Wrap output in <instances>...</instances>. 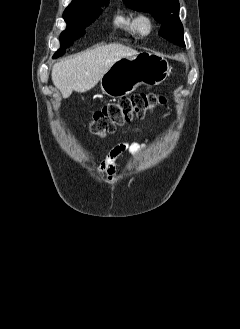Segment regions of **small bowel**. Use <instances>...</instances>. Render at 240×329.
Masks as SVG:
<instances>
[{"label": "small bowel", "instance_id": "1", "mask_svg": "<svg viewBox=\"0 0 240 329\" xmlns=\"http://www.w3.org/2000/svg\"><path fill=\"white\" fill-rule=\"evenodd\" d=\"M143 148V144L137 142H120L113 146L109 151L107 157L97 167L99 173L107 174L112 181L117 179L116 176V160L125 152L137 154Z\"/></svg>", "mask_w": 240, "mask_h": 329}]
</instances>
